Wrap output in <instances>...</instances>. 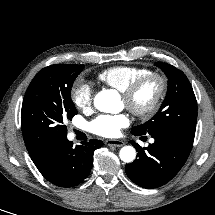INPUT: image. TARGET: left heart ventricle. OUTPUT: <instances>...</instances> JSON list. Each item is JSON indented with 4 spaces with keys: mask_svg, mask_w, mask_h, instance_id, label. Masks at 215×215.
<instances>
[{
    "mask_svg": "<svg viewBox=\"0 0 215 215\" xmlns=\"http://www.w3.org/2000/svg\"><path fill=\"white\" fill-rule=\"evenodd\" d=\"M157 90V84L154 81L148 82L142 87L136 96L135 103L139 106H145L153 99ZM122 102L126 105L125 100L122 98Z\"/></svg>",
    "mask_w": 215,
    "mask_h": 215,
    "instance_id": "obj_1",
    "label": "left heart ventricle"
}]
</instances>
